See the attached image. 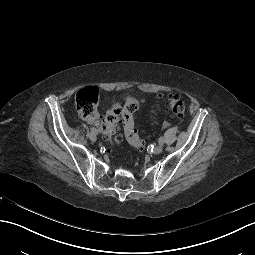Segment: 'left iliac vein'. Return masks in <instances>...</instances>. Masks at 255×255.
I'll list each match as a JSON object with an SVG mask.
<instances>
[{"label": "left iliac vein", "mask_w": 255, "mask_h": 255, "mask_svg": "<svg viewBox=\"0 0 255 255\" xmlns=\"http://www.w3.org/2000/svg\"><path fill=\"white\" fill-rule=\"evenodd\" d=\"M162 150H163V146L159 144L154 148L153 153L157 155V154H160Z\"/></svg>", "instance_id": "4c4485c4"}]
</instances>
